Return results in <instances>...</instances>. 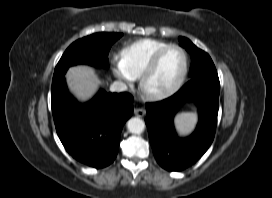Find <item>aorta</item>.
Wrapping results in <instances>:
<instances>
[{
    "label": "aorta",
    "instance_id": "aorta-1",
    "mask_svg": "<svg viewBox=\"0 0 272 198\" xmlns=\"http://www.w3.org/2000/svg\"><path fill=\"white\" fill-rule=\"evenodd\" d=\"M127 128L132 134H141L144 131L145 123L142 119L134 117L127 122Z\"/></svg>",
    "mask_w": 272,
    "mask_h": 198
}]
</instances>
